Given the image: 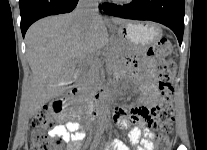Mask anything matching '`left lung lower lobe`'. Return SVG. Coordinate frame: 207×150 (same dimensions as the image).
Here are the masks:
<instances>
[{
    "label": "left lung lower lobe",
    "instance_id": "0a47b994",
    "mask_svg": "<svg viewBox=\"0 0 207 150\" xmlns=\"http://www.w3.org/2000/svg\"><path fill=\"white\" fill-rule=\"evenodd\" d=\"M103 10L116 17L150 20L169 27L182 43L184 31V0H135L127 5L105 3Z\"/></svg>",
    "mask_w": 207,
    "mask_h": 150
}]
</instances>
